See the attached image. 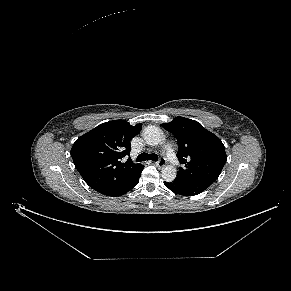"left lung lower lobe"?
I'll list each match as a JSON object with an SVG mask.
<instances>
[{"label": "left lung lower lobe", "instance_id": "obj_1", "mask_svg": "<svg viewBox=\"0 0 291 291\" xmlns=\"http://www.w3.org/2000/svg\"><path fill=\"white\" fill-rule=\"evenodd\" d=\"M214 181L211 179L187 180L177 176L172 182H164V184L176 194L194 196L206 190Z\"/></svg>", "mask_w": 291, "mask_h": 291}]
</instances>
